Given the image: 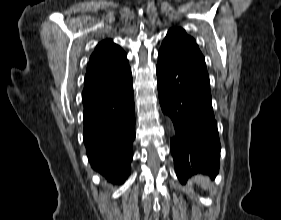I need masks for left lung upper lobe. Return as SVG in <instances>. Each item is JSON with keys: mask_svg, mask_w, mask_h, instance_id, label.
Listing matches in <instances>:
<instances>
[{"mask_svg": "<svg viewBox=\"0 0 281 220\" xmlns=\"http://www.w3.org/2000/svg\"><path fill=\"white\" fill-rule=\"evenodd\" d=\"M176 53L185 54L190 58L205 63L204 56L196 45L195 40L187 35L182 28L170 29L159 50V54L164 55Z\"/></svg>", "mask_w": 281, "mask_h": 220, "instance_id": "5c2ea615", "label": "left lung upper lobe"}]
</instances>
